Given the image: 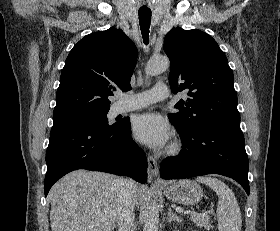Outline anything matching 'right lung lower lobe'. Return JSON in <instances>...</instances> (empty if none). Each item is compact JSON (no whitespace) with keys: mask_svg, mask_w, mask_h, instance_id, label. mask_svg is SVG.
I'll use <instances>...</instances> for the list:
<instances>
[{"mask_svg":"<svg viewBox=\"0 0 280 231\" xmlns=\"http://www.w3.org/2000/svg\"><path fill=\"white\" fill-rule=\"evenodd\" d=\"M45 196L65 174L87 169L126 175L147 181V159L131 138L130 124L111 130L86 125H56L50 133L46 152Z\"/></svg>","mask_w":280,"mask_h":231,"instance_id":"right-lung-lower-lobe-1","label":"right lung lower lobe"}]
</instances>
